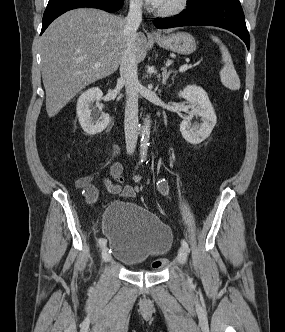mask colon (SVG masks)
<instances>
[{
  "instance_id": "obj_1",
  "label": "colon",
  "mask_w": 285,
  "mask_h": 332,
  "mask_svg": "<svg viewBox=\"0 0 285 332\" xmlns=\"http://www.w3.org/2000/svg\"><path fill=\"white\" fill-rule=\"evenodd\" d=\"M168 263V260L167 259H165V258H163V259H158V260H156L154 263H153V266L154 267H162V266H164L165 264H167Z\"/></svg>"
}]
</instances>
